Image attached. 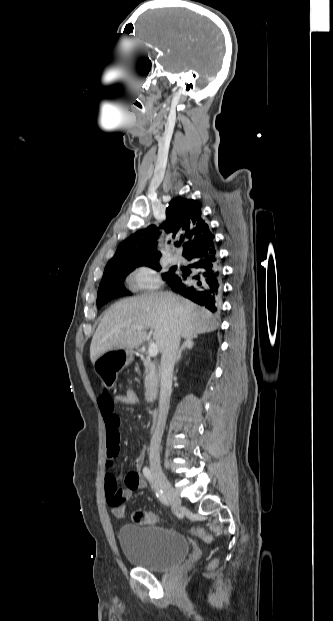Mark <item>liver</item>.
<instances>
[{
  "label": "liver",
  "instance_id": "1",
  "mask_svg": "<svg viewBox=\"0 0 333 621\" xmlns=\"http://www.w3.org/2000/svg\"><path fill=\"white\" fill-rule=\"evenodd\" d=\"M218 326L215 316L206 308L170 292L126 298L104 314L91 341L90 360L94 363L106 352L141 346L147 334L138 331V327L153 328V338L163 352L174 328L183 338H190L212 332Z\"/></svg>",
  "mask_w": 333,
  "mask_h": 621
}]
</instances>
